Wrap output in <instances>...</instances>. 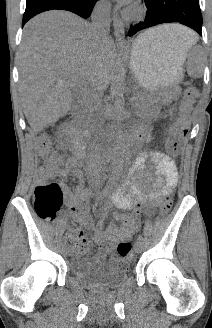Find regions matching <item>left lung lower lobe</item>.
<instances>
[{"label":"left lung lower lobe","instance_id":"1","mask_svg":"<svg viewBox=\"0 0 212 328\" xmlns=\"http://www.w3.org/2000/svg\"><path fill=\"white\" fill-rule=\"evenodd\" d=\"M145 20L131 26L129 36L163 23H181L202 35V15L199 0H144Z\"/></svg>","mask_w":212,"mask_h":328}]
</instances>
